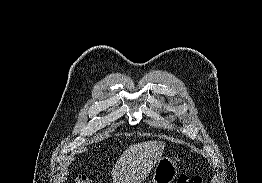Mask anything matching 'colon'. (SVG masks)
Instances as JSON below:
<instances>
[{"mask_svg":"<svg viewBox=\"0 0 262 183\" xmlns=\"http://www.w3.org/2000/svg\"><path fill=\"white\" fill-rule=\"evenodd\" d=\"M75 183H94V181L86 176H79ZM178 183H202V178L200 176L183 175L179 178Z\"/></svg>","mask_w":262,"mask_h":183,"instance_id":"obj_1","label":"colon"}]
</instances>
